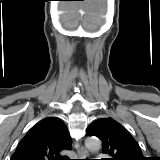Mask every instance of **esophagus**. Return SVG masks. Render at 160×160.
I'll list each match as a JSON object with an SVG mask.
<instances>
[{
	"label": "esophagus",
	"mask_w": 160,
	"mask_h": 160,
	"mask_svg": "<svg viewBox=\"0 0 160 160\" xmlns=\"http://www.w3.org/2000/svg\"><path fill=\"white\" fill-rule=\"evenodd\" d=\"M77 154H78L79 159H82V160L86 159V157H88L89 155L88 151L83 146H80L77 149Z\"/></svg>",
	"instance_id": "obj_1"
}]
</instances>
